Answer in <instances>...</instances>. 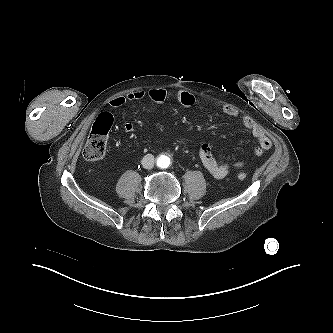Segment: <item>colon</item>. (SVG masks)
I'll return each instance as SVG.
<instances>
[{
  "mask_svg": "<svg viewBox=\"0 0 333 333\" xmlns=\"http://www.w3.org/2000/svg\"><path fill=\"white\" fill-rule=\"evenodd\" d=\"M113 124V117L110 113H101L94 122L90 134L84 146L83 155L88 161H98L102 159L107 149L108 133ZM239 180H244L245 173L238 174Z\"/></svg>",
  "mask_w": 333,
  "mask_h": 333,
  "instance_id": "1",
  "label": "colon"
}]
</instances>
